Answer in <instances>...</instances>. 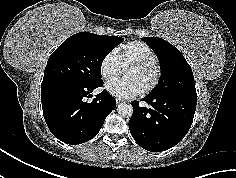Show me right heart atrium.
I'll return each instance as SVG.
<instances>
[{
    "mask_svg": "<svg viewBox=\"0 0 236 178\" xmlns=\"http://www.w3.org/2000/svg\"><path fill=\"white\" fill-rule=\"evenodd\" d=\"M121 66L114 52L106 53L99 63V71L105 82L115 79L121 72Z\"/></svg>",
    "mask_w": 236,
    "mask_h": 178,
    "instance_id": "right-heart-atrium-1",
    "label": "right heart atrium"
}]
</instances>
